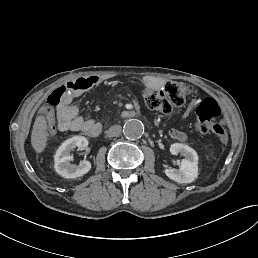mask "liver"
Listing matches in <instances>:
<instances>
[{
	"label": "liver",
	"instance_id": "liver-1",
	"mask_svg": "<svg viewBox=\"0 0 258 258\" xmlns=\"http://www.w3.org/2000/svg\"><path fill=\"white\" fill-rule=\"evenodd\" d=\"M48 135L45 117H36L31 134V144L37 153H41L45 149Z\"/></svg>",
	"mask_w": 258,
	"mask_h": 258
}]
</instances>
